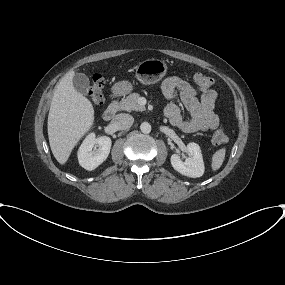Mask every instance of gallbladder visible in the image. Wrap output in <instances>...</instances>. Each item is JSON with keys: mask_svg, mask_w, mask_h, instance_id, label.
Listing matches in <instances>:
<instances>
[{"mask_svg": "<svg viewBox=\"0 0 285 285\" xmlns=\"http://www.w3.org/2000/svg\"><path fill=\"white\" fill-rule=\"evenodd\" d=\"M90 81L89 78L83 73H76L73 77L74 88L82 95L88 94Z\"/></svg>", "mask_w": 285, "mask_h": 285, "instance_id": "1", "label": "gallbladder"}]
</instances>
